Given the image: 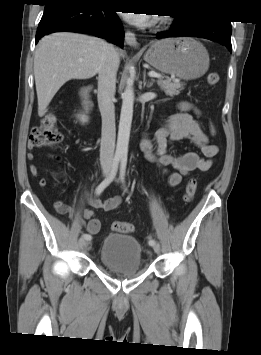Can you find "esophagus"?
<instances>
[{
  "label": "esophagus",
  "instance_id": "esophagus-1",
  "mask_svg": "<svg viewBox=\"0 0 261 355\" xmlns=\"http://www.w3.org/2000/svg\"><path fill=\"white\" fill-rule=\"evenodd\" d=\"M125 41L128 45L132 47H138L139 44L137 42V39L135 37V34L131 31H126L125 32Z\"/></svg>",
  "mask_w": 261,
  "mask_h": 355
}]
</instances>
